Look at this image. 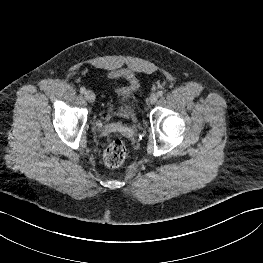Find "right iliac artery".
Instances as JSON below:
<instances>
[{"instance_id": "82829eb1", "label": "right iliac artery", "mask_w": 263, "mask_h": 263, "mask_svg": "<svg viewBox=\"0 0 263 263\" xmlns=\"http://www.w3.org/2000/svg\"><path fill=\"white\" fill-rule=\"evenodd\" d=\"M80 92H81V93H85V92H86L85 87H81V88H80Z\"/></svg>"}]
</instances>
